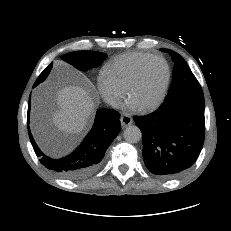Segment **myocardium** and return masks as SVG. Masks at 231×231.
<instances>
[{
  "instance_id": "1",
  "label": "myocardium",
  "mask_w": 231,
  "mask_h": 231,
  "mask_svg": "<svg viewBox=\"0 0 231 231\" xmlns=\"http://www.w3.org/2000/svg\"><path fill=\"white\" fill-rule=\"evenodd\" d=\"M154 60H160L161 62H163V64L165 65V68H166V77H165L162 89H161L158 97L153 102H151L147 105L141 106L139 109L142 111H150V110L157 108L162 103V101L164 100L166 93H167V90H168V87H169V83H170L171 71H170V67H169L168 62L161 56H151L150 58L145 60L139 66L134 77L132 78L129 85L127 86V89H126L127 97L130 98V95H131L133 89L140 82L145 68L148 66V64L150 62H152Z\"/></svg>"
}]
</instances>
